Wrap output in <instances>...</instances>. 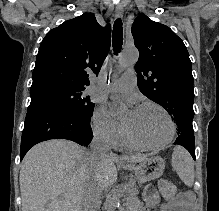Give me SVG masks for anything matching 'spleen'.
I'll list each match as a JSON object with an SVG mask.
<instances>
[{"label":"spleen","mask_w":219,"mask_h":211,"mask_svg":"<svg viewBox=\"0 0 219 211\" xmlns=\"http://www.w3.org/2000/svg\"><path fill=\"white\" fill-rule=\"evenodd\" d=\"M172 167L177 171L185 185H189V187L193 185L195 175L193 159L185 147H181V145L174 147L172 153Z\"/></svg>","instance_id":"spleen-1"}]
</instances>
